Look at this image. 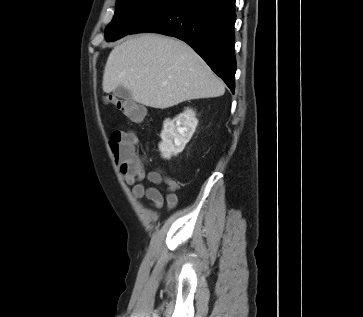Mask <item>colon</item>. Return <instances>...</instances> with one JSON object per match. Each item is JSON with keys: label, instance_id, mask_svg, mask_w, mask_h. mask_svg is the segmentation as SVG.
<instances>
[{"label": "colon", "instance_id": "1", "mask_svg": "<svg viewBox=\"0 0 363 317\" xmlns=\"http://www.w3.org/2000/svg\"><path fill=\"white\" fill-rule=\"evenodd\" d=\"M105 99L107 102L116 105L118 110L130 121L141 123L144 120L145 110L137 102L111 94H107ZM136 143L137 138L134 133L116 129L110 134L108 139L109 149L115 162L119 164L121 168L136 169L142 165L140 157L136 154Z\"/></svg>", "mask_w": 363, "mask_h": 317}]
</instances>
